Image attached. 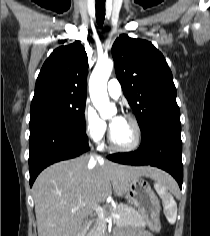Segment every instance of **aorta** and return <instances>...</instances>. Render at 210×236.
Segmentation results:
<instances>
[{
  "mask_svg": "<svg viewBox=\"0 0 210 236\" xmlns=\"http://www.w3.org/2000/svg\"><path fill=\"white\" fill-rule=\"evenodd\" d=\"M113 64L112 59L98 60L89 80L90 98L102 118H107L116 112L115 106L109 102L107 93V81Z\"/></svg>",
  "mask_w": 210,
  "mask_h": 236,
  "instance_id": "762f6f07",
  "label": "aorta"
}]
</instances>
